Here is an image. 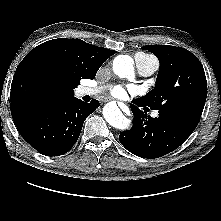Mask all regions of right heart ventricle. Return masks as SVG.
I'll return each instance as SVG.
<instances>
[{"instance_id": "right-heart-ventricle-1", "label": "right heart ventricle", "mask_w": 221, "mask_h": 221, "mask_svg": "<svg viewBox=\"0 0 221 221\" xmlns=\"http://www.w3.org/2000/svg\"><path fill=\"white\" fill-rule=\"evenodd\" d=\"M140 55H142V56H144V57H151V56L146 55V54H140Z\"/></svg>"}]
</instances>
